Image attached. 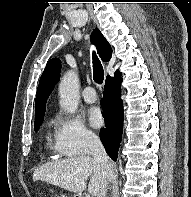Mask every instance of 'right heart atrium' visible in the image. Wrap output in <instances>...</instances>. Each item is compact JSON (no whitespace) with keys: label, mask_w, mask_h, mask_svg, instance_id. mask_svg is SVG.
<instances>
[{"label":"right heart atrium","mask_w":191,"mask_h":197,"mask_svg":"<svg viewBox=\"0 0 191 197\" xmlns=\"http://www.w3.org/2000/svg\"><path fill=\"white\" fill-rule=\"evenodd\" d=\"M97 142V135L78 118L59 115L55 120V150L62 156L83 154Z\"/></svg>","instance_id":"1"}]
</instances>
